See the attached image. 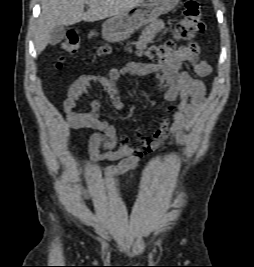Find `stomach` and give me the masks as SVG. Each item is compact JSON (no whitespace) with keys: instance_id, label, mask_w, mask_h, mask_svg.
<instances>
[{"instance_id":"1","label":"stomach","mask_w":254,"mask_h":267,"mask_svg":"<svg viewBox=\"0 0 254 267\" xmlns=\"http://www.w3.org/2000/svg\"><path fill=\"white\" fill-rule=\"evenodd\" d=\"M178 2L179 0H147L122 14L106 20L102 24V36L108 42L124 41L135 30L175 9Z\"/></svg>"}]
</instances>
